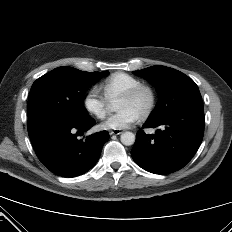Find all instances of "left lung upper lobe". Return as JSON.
<instances>
[{
    "instance_id": "left-lung-upper-lobe-1",
    "label": "left lung upper lobe",
    "mask_w": 232,
    "mask_h": 232,
    "mask_svg": "<svg viewBox=\"0 0 232 232\" xmlns=\"http://www.w3.org/2000/svg\"><path fill=\"white\" fill-rule=\"evenodd\" d=\"M133 73L149 80L161 94L149 120H158L180 107L202 101L196 83L178 70L151 66Z\"/></svg>"
}]
</instances>
